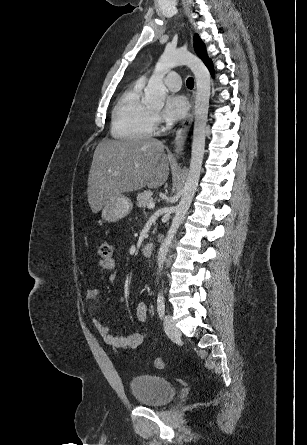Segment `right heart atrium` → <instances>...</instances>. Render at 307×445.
<instances>
[{
    "instance_id": "obj_1",
    "label": "right heart atrium",
    "mask_w": 307,
    "mask_h": 445,
    "mask_svg": "<svg viewBox=\"0 0 307 445\" xmlns=\"http://www.w3.org/2000/svg\"><path fill=\"white\" fill-rule=\"evenodd\" d=\"M152 129L158 131L162 126V118L158 113L151 114Z\"/></svg>"
}]
</instances>
